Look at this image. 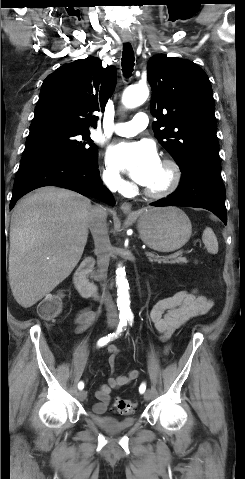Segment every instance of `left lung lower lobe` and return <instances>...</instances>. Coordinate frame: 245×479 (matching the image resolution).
Instances as JSON below:
<instances>
[{
  "mask_svg": "<svg viewBox=\"0 0 245 479\" xmlns=\"http://www.w3.org/2000/svg\"><path fill=\"white\" fill-rule=\"evenodd\" d=\"M181 172L182 178L177 190L151 205L204 208L213 212L226 224L225 186L221 178L219 157L198 158L190 162Z\"/></svg>",
  "mask_w": 245,
  "mask_h": 479,
  "instance_id": "left-lung-lower-lobe-1",
  "label": "left lung lower lobe"
}]
</instances>
